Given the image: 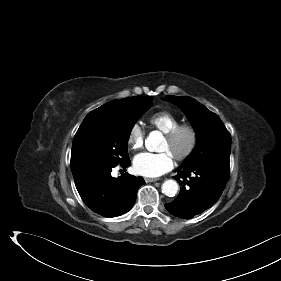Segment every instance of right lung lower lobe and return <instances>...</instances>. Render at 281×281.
<instances>
[{
	"label": "right lung lower lobe",
	"instance_id": "obj_1",
	"mask_svg": "<svg viewBox=\"0 0 281 281\" xmlns=\"http://www.w3.org/2000/svg\"><path fill=\"white\" fill-rule=\"evenodd\" d=\"M130 165V159L121 163ZM116 165L98 164L72 171L77 191L84 203L95 213L114 217L128 212L135 203L138 188L145 183L142 177L125 174L119 179L111 176Z\"/></svg>",
	"mask_w": 281,
	"mask_h": 281
}]
</instances>
